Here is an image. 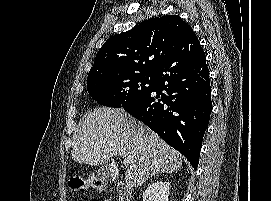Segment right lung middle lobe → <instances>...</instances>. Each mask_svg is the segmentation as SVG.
<instances>
[{
    "instance_id": "dd1d6c3e",
    "label": "right lung middle lobe",
    "mask_w": 271,
    "mask_h": 201,
    "mask_svg": "<svg viewBox=\"0 0 271 201\" xmlns=\"http://www.w3.org/2000/svg\"><path fill=\"white\" fill-rule=\"evenodd\" d=\"M154 74H106L87 78V90L99 104L120 108L125 102L148 92Z\"/></svg>"
}]
</instances>
